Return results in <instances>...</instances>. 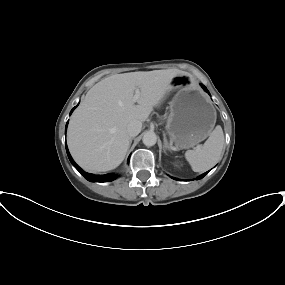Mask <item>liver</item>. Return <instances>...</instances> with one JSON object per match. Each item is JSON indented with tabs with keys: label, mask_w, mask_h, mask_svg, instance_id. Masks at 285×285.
Here are the masks:
<instances>
[{
	"label": "liver",
	"mask_w": 285,
	"mask_h": 285,
	"mask_svg": "<svg viewBox=\"0 0 285 285\" xmlns=\"http://www.w3.org/2000/svg\"><path fill=\"white\" fill-rule=\"evenodd\" d=\"M180 75L189 77L193 85L192 76L179 69L115 74L95 84L68 126V147L76 163L94 173L118 167L129 148V122L146 121ZM136 89L140 91L137 105Z\"/></svg>",
	"instance_id": "liver-1"
}]
</instances>
